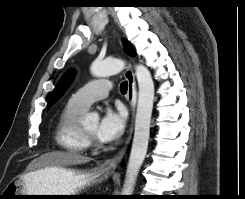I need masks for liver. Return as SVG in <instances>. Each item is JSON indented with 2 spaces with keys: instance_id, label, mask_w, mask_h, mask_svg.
<instances>
[{
  "instance_id": "6515ba94",
  "label": "liver",
  "mask_w": 245,
  "mask_h": 199,
  "mask_svg": "<svg viewBox=\"0 0 245 199\" xmlns=\"http://www.w3.org/2000/svg\"><path fill=\"white\" fill-rule=\"evenodd\" d=\"M89 161H91V158L80 155L75 152L54 151V152L43 154L38 158L36 163V168H37L36 171L48 167L61 168V167H66L71 165L84 164ZM33 172H30L25 176L31 175L33 174Z\"/></svg>"
}]
</instances>
